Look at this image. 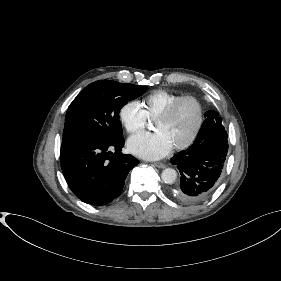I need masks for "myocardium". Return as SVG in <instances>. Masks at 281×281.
Returning a JSON list of instances; mask_svg holds the SVG:
<instances>
[{
    "instance_id": "1",
    "label": "myocardium",
    "mask_w": 281,
    "mask_h": 281,
    "mask_svg": "<svg viewBox=\"0 0 281 281\" xmlns=\"http://www.w3.org/2000/svg\"><path fill=\"white\" fill-rule=\"evenodd\" d=\"M186 101H192L196 104L197 107V122L195 125V128L193 130V132L191 133V135L184 140L183 142L173 146V148L175 150H183L188 148L189 146H191L195 140L197 139L202 125H203V121H204V107L203 104L201 102V100L193 95H184L181 96L180 98H178L177 100H175L174 102H172L171 104H169L166 108H164L156 117V119H160V120H165L168 119L173 112L183 103Z\"/></svg>"
}]
</instances>
